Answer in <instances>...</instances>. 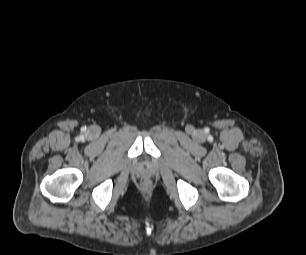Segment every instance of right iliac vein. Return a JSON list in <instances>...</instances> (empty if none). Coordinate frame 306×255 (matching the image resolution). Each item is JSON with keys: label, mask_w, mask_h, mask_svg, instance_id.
Here are the masks:
<instances>
[{"label": "right iliac vein", "mask_w": 306, "mask_h": 255, "mask_svg": "<svg viewBox=\"0 0 306 255\" xmlns=\"http://www.w3.org/2000/svg\"><path fill=\"white\" fill-rule=\"evenodd\" d=\"M90 133H91L92 135H97V134L99 133V130H98V128H96V127H92V128L90 129Z\"/></svg>", "instance_id": "63e3f726"}]
</instances>
